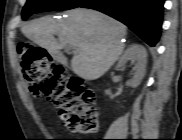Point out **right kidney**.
I'll use <instances>...</instances> for the list:
<instances>
[{
  "instance_id": "ca27d5eb",
  "label": "right kidney",
  "mask_w": 182,
  "mask_h": 140,
  "mask_svg": "<svg viewBox=\"0 0 182 140\" xmlns=\"http://www.w3.org/2000/svg\"><path fill=\"white\" fill-rule=\"evenodd\" d=\"M128 61H131L135 66L129 84L136 88L146 72L147 53L145 48L139 44L131 45L119 59L117 68L124 67Z\"/></svg>"
}]
</instances>
